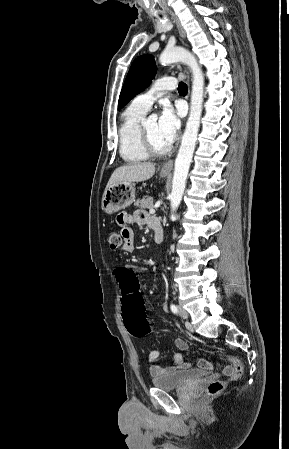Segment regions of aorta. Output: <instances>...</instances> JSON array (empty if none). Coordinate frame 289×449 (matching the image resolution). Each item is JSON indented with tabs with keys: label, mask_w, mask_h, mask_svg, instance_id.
Listing matches in <instances>:
<instances>
[{
	"label": "aorta",
	"mask_w": 289,
	"mask_h": 449,
	"mask_svg": "<svg viewBox=\"0 0 289 449\" xmlns=\"http://www.w3.org/2000/svg\"><path fill=\"white\" fill-rule=\"evenodd\" d=\"M161 64L182 62L189 66L192 73V92L190 103V114L186 128L182 136L181 145L175 160L174 175L172 180V191L170 194L171 218L174 211L179 207L184 194L186 179L196 146L200 119L203 107L204 76L195 56L182 47L165 49L160 57Z\"/></svg>",
	"instance_id": "762f6f07"
}]
</instances>
